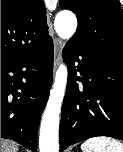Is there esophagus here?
<instances>
[{"mask_svg":"<svg viewBox=\"0 0 123 152\" xmlns=\"http://www.w3.org/2000/svg\"><path fill=\"white\" fill-rule=\"evenodd\" d=\"M63 44L59 38H54V67L57 68L61 61Z\"/></svg>","mask_w":123,"mask_h":152,"instance_id":"esophagus-1","label":"esophagus"}]
</instances>
